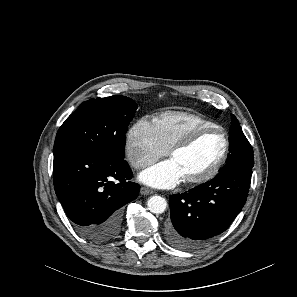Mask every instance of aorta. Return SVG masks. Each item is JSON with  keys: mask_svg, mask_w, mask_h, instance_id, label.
Segmentation results:
<instances>
[{"mask_svg": "<svg viewBox=\"0 0 297 297\" xmlns=\"http://www.w3.org/2000/svg\"><path fill=\"white\" fill-rule=\"evenodd\" d=\"M147 206L150 212L158 215L166 210L167 202L165 198L155 195L149 198Z\"/></svg>", "mask_w": 297, "mask_h": 297, "instance_id": "1", "label": "aorta"}]
</instances>
